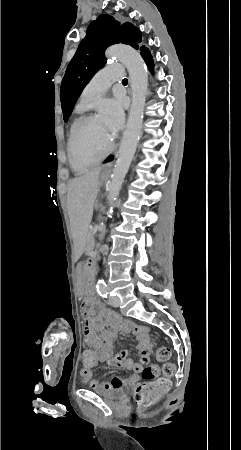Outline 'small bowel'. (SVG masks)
<instances>
[{
    "mask_svg": "<svg viewBox=\"0 0 241 450\" xmlns=\"http://www.w3.org/2000/svg\"><path fill=\"white\" fill-rule=\"evenodd\" d=\"M93 298H84L80 309L82 316L86 318V326L84 329V341L87 347H93L94 355H97L98 362L106 363L109 366H123L131 370L132 374L128 377L115 376L109 381L102 383L90 382V387L101 388L103 390H117L126 386H133L140 383L143 370L148 366L151 356V348L153 336L149 327L137 324L130 320L120 322L117 329L107 330L106 324H96L97 318L91 316L90 307H93ZM119 332L131 333L137 341V350L139 360L134 363L128 358V350L124 349L117 355L112 357L114 340ZM96 333H99L98 335ZM81 375L85 381H90L92 374L89 369H82Z\"/></svg>",
    "mask_w": 241,
    "mask_h": 450,
    "instance_id": "obj_1",
    "label": "small bowel"
}]
</instances>
